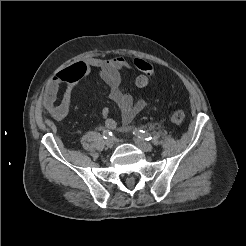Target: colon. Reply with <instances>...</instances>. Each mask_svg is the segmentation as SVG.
Masks as SVG:
<instances>
[{"instance_id":"obj_1","label":"colon","mask_w":246,"mask_h":246,"mask_svg":"<svg viewBox=\"0 0 246 246\" xmlns=\"http://www.w3.org/2000/svg\"><path fill=\"white\" fill-rule=\"evenodd\" d=\"M134 65L141 72V74L136 77V85L140 88L148 86L150 79L154 76V69L152 65L147 61L139 58L134 60ZM185 116L186 114L184 110H175L171 115V121L173 124L179 125L184 121Z\"/></svg>"}]
</instances>
